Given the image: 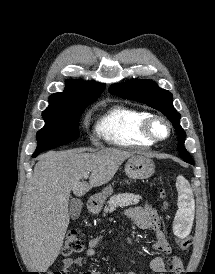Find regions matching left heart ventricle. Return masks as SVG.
Listing matches in <instances>:
<instances>
[{
	"instance_id": "b2bd125f",
	"label": "left heart ventricle",
	"mask_w": 215,
	"mask_h": 274,
	"mask_svg": "<svg viewBox=\"0 0 215 274\" xmlns=\"http://www.w3.org/2000/svg\"><path fill=\"white\" fill-rule=\"evenodd\" d=\"M155 131L160 136H163L166 133V129L162 124H157L155 127Z\"/></svg>"
}]
</instances>
